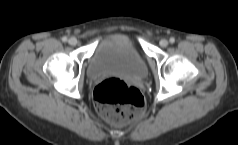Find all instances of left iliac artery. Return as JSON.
<instances>
[{
  "label": "left iliac artery",
  "mask_w": 238,
  "mask_h": 145,
  "mask_svg": "<svg viewBox=\"0 0 238 145\" xmlns=\"http://www.w3.org/2000/svg\"><path fill=\"white\" fill-rule=\"evenodd\" d=\"M169 41H170V43H174L175 42V38L174 37H171L170 39H169Z\"/></svg>",
  "instance_id": "44dca946"
}]
</instances>
